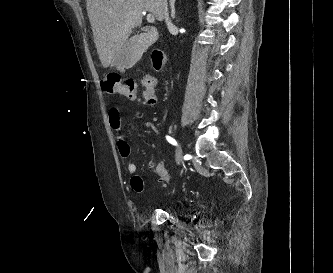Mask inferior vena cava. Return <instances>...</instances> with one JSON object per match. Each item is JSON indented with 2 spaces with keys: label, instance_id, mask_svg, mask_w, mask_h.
<instances>
[{
  "label": "inferior vena cava",
  "instance_id": "obj_1",
  "mask_svg": "<svg viewBox=\"0 0 333 273\" xmlns=\"http://www.w3.org/2000/svg\"><path fill=\"white\" fill-rule=\"evenodd\" d=\"M161 9L165 18V22L167 24L168 27H170L172 25L171 20L169 18V14H168V3L167 0H162L161 3Z\"/></svg>",
  "mask_w": 333,
  "mask_h": 273
}]
</instances>
